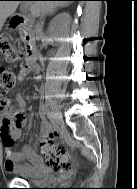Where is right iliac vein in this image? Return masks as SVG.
I'll use <instances>...</instances> for the list:
<instances>
[{"label":"right iliac vein","instance_id":"1","mask_svg":"<svg viewBox=\"0 0 137 189\" xmlns=\"http://www.w3.org/2000/svg\"><path fill=\"white\" fill-rule=\"evenodd\" d=\"M53 116H52V122L54 127H57L61 121H62V115L61 112L59 111L58 108H53V112H52Z\"/></svg>","mask_w":137,"mask_h":189}]
</instances>
